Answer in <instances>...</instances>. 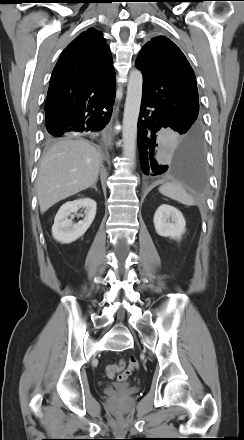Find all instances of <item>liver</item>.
<instances>
[{
	"label": "liver",
	"mask_w": 244,
	"mask_h": 440,
	"mask_svg": "<svg viewBox=\"0 0 244 440\" xmlns=\"http://www.w3.org/2000/svg\"><path fill=\"white\" fill-rule=\"evenodd\" d=\"M101 152L84 139L62 138L43 156L36 180L40 212L98 180Z\"/></svg>",
	"instance_id": "obj_1"
}]
</instances>
